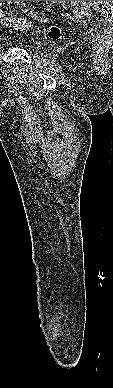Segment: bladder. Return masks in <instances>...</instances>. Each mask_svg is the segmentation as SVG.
Here are the masks:
<instances>
[{
  "mask_svg": "<svg viewBox=\"0 0 113 388\" xmlns=\"http://www.w3.org/2000/svg\"><path fill=\"white\" fill-rule=\"evenodd\" d=\"M28 25H26V24H24L23 26H22V28H25V27H27ZM40 46H37V48H39Z\"/></svg>",
  "mask_w": 113,
  "mask_h": 388,
  "instance_id": "obj_1",
  "label": "bladder"
}]
</instances>
